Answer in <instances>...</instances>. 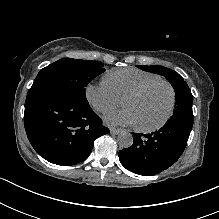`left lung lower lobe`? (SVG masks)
I'll return each instance as SVG.
<instances>
[{
  "mask_svg": "<svg viewBox=\"0 0 219 219\" xmlns=\"http://www.w3.org/2000/svg\"><path fill=\"white\" fill-rule=\"evenodd\" d=\"M193 119L172 118L158 131L133 135V145L119 152L122 165L139 175L150 176L172 166L183 153Z\"/></svg>",
  "mask_w": 219,
  "mask_h": 219,
  "instance_id": "left-lung-lower-lobe-1",
  "label": "left lung lower lobe"
}]
</instances>
